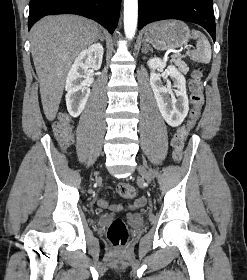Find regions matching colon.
<instances>
[{
    "mask_svg": "<svg viewBox=\"0 0 247 280\" xmlns=\"http://www.w3.org/2000/svg\"><path fill=\"white\" fill-rule=\"evenodd\" d=\"M189 89L191 92L190 101L192 107L188 121L176 131L171 140L173 158L176 162H180L183 158L185 141L200 118L204 105V85L201 71H195L192 74ZM72 128L73 126L70 116L67 113H61L54 127L55 136L60 145L67 146L73 142ZM117 192L125 199H132L136 196V189L127 183H120L117 186ZM101 204H104V201H101ZM107 238L113 246H123L126 244L128 240V229L121 218L114 219L109 225L107 229Z\"/></svg>",
    "mask_w": 247,
    "mask_h": 280,
    "instance_id": "obj_1",
    "label": "colon"
}]
</instances>
